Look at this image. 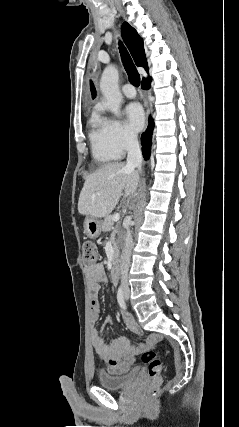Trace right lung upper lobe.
Segmentation results:
<instances>
[{"mask_svg": "<svg viewBox=\"0 0 239 427\" xmlns=\"http://www.w3.org/2000/svg\"><path fill=\"white\" fill-rule=\"evenodd\" d=\"M122 36L126 43L134 61L137 66H142L148 71V64L145 58L143 48V40L138 35L136 30L131 27L127 22H124L121 27Z\"/></svg>", "mask_w": 239, "mask_h": 427, "instance_id": "right-lung-upper-lobe-1", "label": "right lung upper lobe"}]
</instances>
